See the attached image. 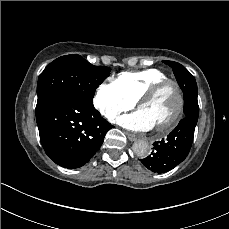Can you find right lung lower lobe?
Masks as SVG:
<instances>
[{
  "label": "right lung lower lobe",
  "instance_id": "obj_1",
  "mask_svg": "<svg viewBox=\"0 0 229 229\" xmlns=\"http://www.w3.org/2000/svg\"><path fill=\"white\" fill-rule=\"evenodd\" d=\"M40 141L56 164L79 168L101 147L113 127L100 116L93 103L75 95H61L36 114Z\"/></svg>",
  "mask_w": 229,
  "mask_h": 229
}]
</instances>
